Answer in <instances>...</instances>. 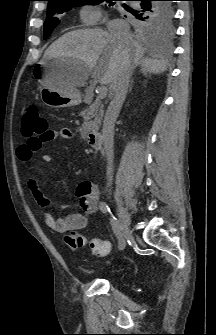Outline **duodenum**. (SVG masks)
Wrapping results in <instances>:
<instances>
[{
	"instance_id": "1",
	"label": "duodenum",
	"mask_w": 216,
	"mask_h": 335,
	"mask_svg": "<svg viewBox=\"0 0 216 335\" xmlns=\"http://www.w3.org/2000/svg\"><path fill=\"white\" fill-rule=\"evenodd\" d=\"M87 142L93 149L99 150L102 147V136L97 130H92L87 135Z\"/></svg>"
}]
</instances>
